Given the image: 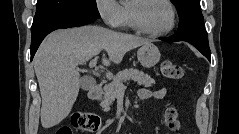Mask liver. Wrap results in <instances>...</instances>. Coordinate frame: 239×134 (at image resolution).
<instances>
[{"label": "liver", "instance_id": "obj_1", "mask_svg": "<svg viewBox=\"0 0 239 134\" xmlns=\"http://www.w3.org/2000/svg\"><path fill=\"white\" fill-rule=\"evenodd\" d=\"M145 38L99 26L57 30L42 42L34 57V70L42 97L41 124L51 128L65 119L80 89L78 64L105 50L111 62L119 64L126 52L149 43Z\"/></svg>", "mask_w": 239, "mask_h": 134}]
</instances>
